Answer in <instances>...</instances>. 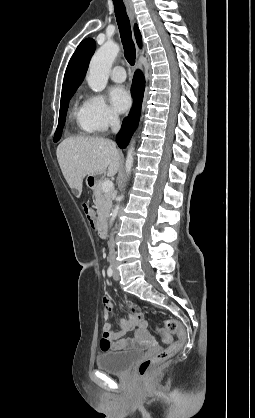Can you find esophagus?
<instances>
[{"mask_svg": "<svg viewBox=\"0 0 255 418\" xmlns=\"http://www.w3.org/2000/svg\"><path fill=\"white\" fill-rule=\"evenodd\" d=\"M125 3H126V7H127V10H128V13H129L130 19H131L132 23H134L135 14H134V7H133V4H132V2H130V0H125ZM137 52H138V53H140V51H139V50H137ZM137 67H138V68H140V67H141L140 62H138V63H137Z\"/></svg>", "mask_w": 255, "mask_h": 418, "instance_id": "esophagus-1", "label": "esophagus"}]
</instances>
